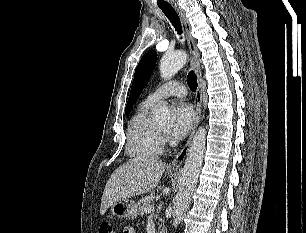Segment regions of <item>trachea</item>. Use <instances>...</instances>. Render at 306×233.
<instances>
[{"mask_svg": "<svg viewBox=\"0 0 306 233\" xmlns=\"http://www.w3.org/2000/svg\"><path fill=\"white\" fill-rule=\"evenodd\" d=\"M158 7L164 12V14L168 17L172 25L175 27V30L179 35L182 34V26L180 23V19L177 13L169 4H158ZM187 83L191 91H195L197 89V76L194 71H190L187 76Z\"/></svg>", "mask_w": 306, "mask_h": 233, "instance_id": "3493384b", "label": "trachea"}]
</instances>
